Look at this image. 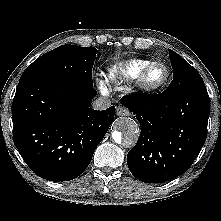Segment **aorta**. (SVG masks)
<instances>
[{
  "label": "aorta",
  "mask_w": 221,
  "mask_h": 221,
  "mask_svg": "<svg viewBox=\"0 0 221 221\" xmlns=\"http://www.w3.org/2000/svg\"><path fill=\"white\" fill-rule=\"evenodd\" d=\"M140 127L137 121L130 117H120L115 122L112 133L114 141L124 147H133L139 137Z\"/></svg>",
  "instance_id": "obj_1"
}]
</instances>
